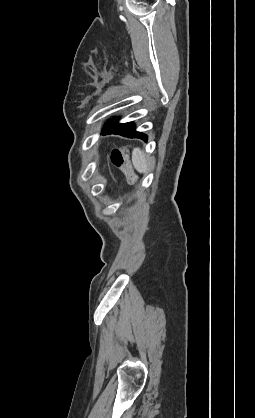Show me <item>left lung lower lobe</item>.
<instances>
[{"label": "left lung lower lobe", "mask_w": 255, "mask_h": 418, "mask_svg": "<svg viewBox=\"0 0 255 418\" xmlns=\"http://www.w3.org/2000/svg\"><path fill=\"white\" fill-rule=\"evenodd\" d=\"M103 134H119L129 138H140L147 140V136L135 130L133 123L119 124L115 120L110 121L103 131Z\"/></svg>", "instance_id": "obj_1"}]
</instances>
